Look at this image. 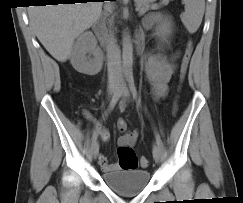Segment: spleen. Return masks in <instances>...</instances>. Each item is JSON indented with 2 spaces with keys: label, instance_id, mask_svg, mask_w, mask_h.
Listing matches in <instances>:
<instances>
[{
  "label": "spleen",
  "instance_id": "3e777b00",
  "mask_svg": "<svg viewBox=\"0 0 243 203\" xmlns=\"http://www.w3.org/2000/svg\"><path fill=\"white\" fill-rule=\"evenodd\" d=\"M185 12L181 15V21L189 33H195L201 25L205 0H183Z\"/></svg>",
  "mask_w": 243,
  "mask_h": 203
}]
</instances>
